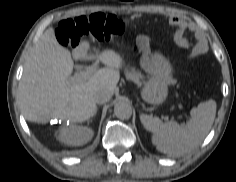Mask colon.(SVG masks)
Listing matches in <instances>:
<instances>
[{
	"mask_svg": "<svg viewBox=\"0 0 236 182\" xmlns=\"http://www.w3.org/2000/svg\"><path fill=\"white\" fill-rule=\"evenodd\" d=\"M123 32L124 26L116 17L95 13L61 21L56 35L63 46L76 47L85 36L107 41Z\"/></svg>",
	"mask_w": 236,
	"mask_h": 182,
	"instance_id": "colon-1",
	"label": "colon"
}]
</instances>
